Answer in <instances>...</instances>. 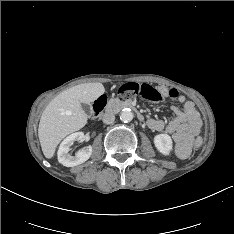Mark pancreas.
<instances>
[{"instance_id":"1","label":"pancreas","mask_w":234,"mask_h":234,"mask_svg":"<svg viewBox=\"0 0 234 234\" xmlns=\"http://www.w3.org/2000/svg\"><path fill=\"white\" fill-rule=\"evenodd\" d=\"M114 105H115V102L114 101H110L109 105H108V108H112Z\"/></svg>"}]
</instances>
